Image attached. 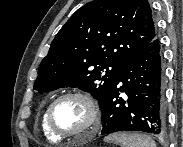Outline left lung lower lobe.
<instances>
[{
	"mask_svg": "<svg viewBox=\"0 0 183 147\" xmlns=\"http://www.w3.org/2000/svg\"><path fill=\"white\" fill-rule=\"evenodd\" d=\"M125 93V96L119 97ZM102 111V134L142 131L165 132L163 68L156 37L124 65L113 83Z\"/></svg>",
	"mask_w": 183,
	"mask_h": 147,
	"instance_id": "1",
	"label": "left lung lower lobe"
}]
</instances>
